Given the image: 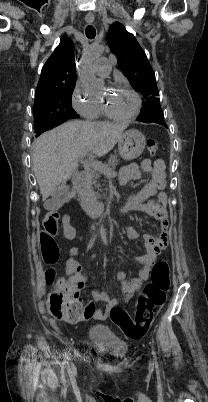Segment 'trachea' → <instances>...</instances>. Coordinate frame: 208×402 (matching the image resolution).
Here are the masks:
<instances>
[{
	"mask_svg": "<svg viewBox=\"0 0 208 402\" xmlns=\"http://www.w3.org/2000/svg\"><path fill=\"white\" fill-rule=\"evenodd\" d=\"M85 33H86L87 38L92 39V38H95L96 30L92 25H88L86 27Z\"/></svg>",
	"mask_w": 208,
	"mask_h": 402,
	"instance_id": "obj_1",
	"label": "trachea"
}]
</instances>
